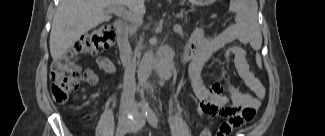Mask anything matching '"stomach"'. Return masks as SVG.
I'll use <instances>...</instances> for the list:
<instances>
[{
  "mask_svg": "<svg viewBox=\"0 0 325 136\" xmlns=\"http://www.w3.org/2000/svg\"><path fill=\"white\" fill-rule=\"evenodd\" d=\"M194 4L203 5L205 3L211 2L210 0H192Z\"/></svg>",
  "mask_w": 325,
  "mask_h": 136,
  "instance_id": "stomach-1",
  "label": "stomach"
}]
</instances>
